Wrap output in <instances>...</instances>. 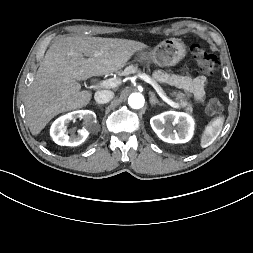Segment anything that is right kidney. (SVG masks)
Returning a JSON list of instances; mask_svg holds the SVG:
<instances>
[{
    "mask_svg": "<svg viewBox=\"0 0 253 253\" xmlns=\"http://www.w3.org/2000/svg\"><path fill=\"white\" fill-rule=\"evenodd\" d=\"M83 119V128L78 130V135H68L66 125L71 120ZM96 122V114L90 110H78L70 112L56 119L50 129V134L58 145L77 146L83 143L89 135V127Z\"/></svg>",
    "mask_w": 253,
    "mask_h": 253,
    "instance_id": "obj_1",
    "label": "right kidney"
}]
</instances>
